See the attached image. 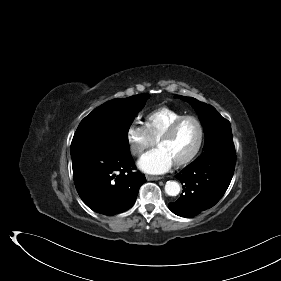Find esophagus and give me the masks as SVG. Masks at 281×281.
I'll list each match as a JSON object with an SVG mask.
<instances>
[{
	"label": "esophagus",
	"mask_w": 281,
	"mask_h": 281,
	"mask_svg": "<svg viewBox=\"0 0 281 281\" xmlns=\"http://www.w3.org/2000/svg\"><path fill=\"white\" fill-rule=\"evenodd\" d=\"M146 179H147L148 181H157V180L162 179V177H160V176H150V175H147V176H146Z\"/></svg>",
	"instance_id": "34e87169"
}]
</instances>
